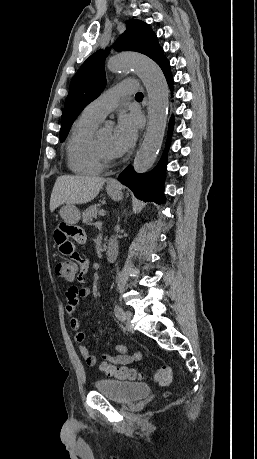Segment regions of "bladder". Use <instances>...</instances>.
I'll return each instance as SVG.
<instances>
[{"instance_id": "1", "label": "bladder", "mask_w": 257, "mask_h": 459, "mask_svg": "<svg viewBox=\"0 0 257 459\" xmlns=\"http://www.w3.org/2000/svg\"><path fill=\"white\" fill-rule=\"evenodd\" d=\"M94 387L97 392L121 404H133L150 392L144 383L111 379H99L94 383Z\"/></svg>"}]
</instances>
